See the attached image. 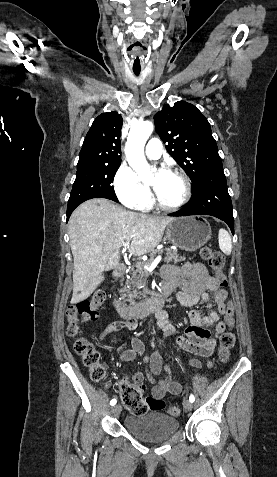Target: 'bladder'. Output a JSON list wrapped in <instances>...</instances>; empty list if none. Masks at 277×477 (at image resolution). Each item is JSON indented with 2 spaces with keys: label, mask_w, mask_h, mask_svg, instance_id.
<instances>
[{
  "label": "bladder",
  "mask_w": 277,
  "mask_h": 477,
  "mask_svg": "<svg viewBox=\"0 0 277 477\" xmlns=\"http://www.w3.org/2000/svg\"><path fill=\"white\" fill-rule=\"evenodd\" d=\"M124 425L133 435L145 441L168 439L179 429V421L175 417L159 411L128 415Z\"/></svg>",
  "instance_id": "obj_1"
}]
</instances>
